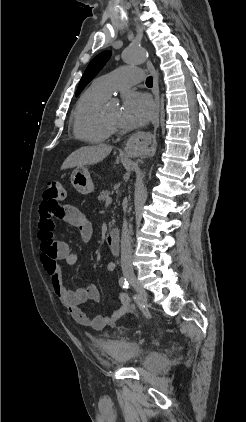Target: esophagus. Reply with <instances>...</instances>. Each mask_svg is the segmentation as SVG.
I'll use <instances>...</instances> for the list:
<instances>
[{
	"mask_svg": "<svg viewBox=\"0 0 246 422\" xmlns=\"http://www.w3.org/2000/svg\"><path fill=\"white\" fill-rule=\"evenodd\" d=\"M148 70L153 76V95L155 101V113L152 119L154 127L153 133L139 134L132 136L125 147L128 155H149L156 149V130L159 127L160 98H159V80L157 71L150 60L146 63Z\"/></svg>",
	"mask_w": 246,
	"mask_h": 422,
	"instance_id": "esophagus-1",
	"label": "esophagus"
}]
</instances>
